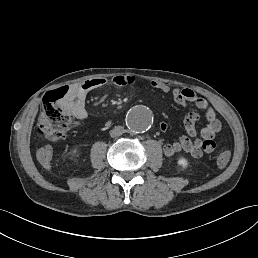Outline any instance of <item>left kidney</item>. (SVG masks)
I'll return each mask as SVG.
<instances>
[{
    "label": "left kidney",
    "instance_id": "obj_1",
    "mask_svg": "<svg viewBox=\"0 0 258 258\" xmlns=\"http://www.w3.org/2000/svg\"><path fill=\"white\" fill-rule=\"evenodd\" d=\"M180 163L182 164V165H186V161L185 160H180Z\"/></svg>",
    "mask_w": 258,
    "mask_h": 258
}]
</instances>
